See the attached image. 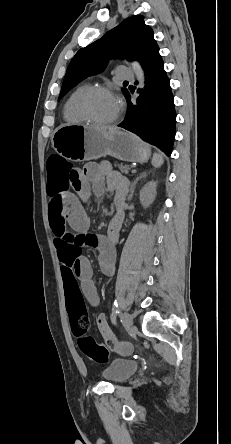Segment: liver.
<instances>
[{
  "mask_svg": "<svg viewBox=\"0 0 231 444\" xmlns=\"http://www.w3.org/2000/svg\"><path fill=\"white\" fill-rule=\"evenodd\" d=\"M92 128H94V129H96L98 131H102V132H113V131L116 130L113 127H92Z\"/></svg>",
  "mask_w": 231,
  "mask_h": 444,
  "instance_id": "6515ba94",
  "label": "liver"
}]
</instances>
